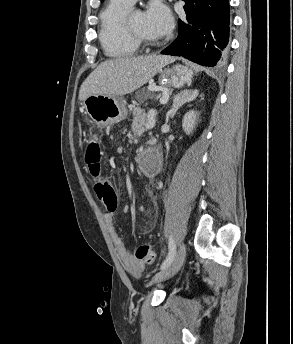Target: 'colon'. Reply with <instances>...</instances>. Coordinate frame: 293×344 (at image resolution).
I'll list each match as a JSON object with an SVG mask.
<instances>
[{
    "instance_id": "1",
    "label": "colon",
    "mask_w": 293,
    "mask_h": 344,
    "mask_svg": "<svg viewBox=\"0 0 293 344\" xmlns=\"http://www.w3.org/2000/svg\"><path fill=\"white\" fill-rule=\"evenodd\" d=\"M90 164L96 165L101 158V148L97 139H93L89 148ZM94 190L98 199L104 204L108 211L116 210L118 206V196L111 181L107 178L95 175ZM135 257L137 260L146 263L153 264L155 261V252L151 245H140L135 251Z\"/></svg>"
}]
</instances>
